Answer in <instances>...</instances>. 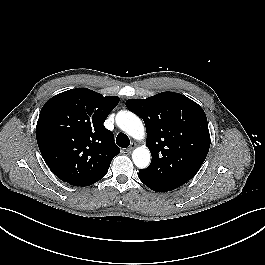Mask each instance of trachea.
I'll use <instances>...</instances> for the list:
<instances>
[{
  "instance_id": "obj_1",
  "label": "trachea",
  "mask_w": 265,
  "mask_h": 265,
  "mask_svg": "<svg viewBox=\"0 0 265 265\" xmlns=\"http://www.w3.org/2000/svg\"><path fill=\"white\" fill-rule=\"evenodd\" d=\"M116 143L122 148H127L130 145V140L125 134L119 133L116 137Z\"/></svg>"
}]
</instances>
